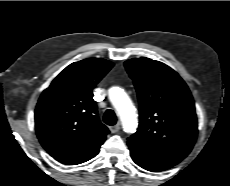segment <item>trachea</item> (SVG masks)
<instances>
[{
    "label": "trachea",
    "mask_w": 230,
    "mask_h": 186,
    "mask_svg": "<svg viewBox=\"0 0 230 186\" xmlns=\"http://www.w3.org/2000/svg\"><path fill=\"white\" fill-rule=\"evenodd\" d=\"M104 123L107 125L113 126L116 124L117 118L113 110L108 109L103 117Z\"/></svg>",
    "instance_id": "3493384b"
}]
</instances>
